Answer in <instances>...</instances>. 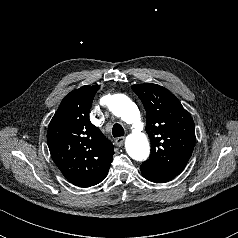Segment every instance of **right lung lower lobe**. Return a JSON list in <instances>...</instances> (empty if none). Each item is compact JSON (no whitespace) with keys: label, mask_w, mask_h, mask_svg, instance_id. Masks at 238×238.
<instances>
[{"label":"right lung lower lobe","mask_w":238,"mask_h":238,"mask_svg":"<svg viewBox=\"0 0 238 238\" xmlns=\"http://www.w3.org/2000/svg\"><path fill=\"white\" fill-rule=\"evenodd\" d=\"M105 177H103L101 180H99L98 182L94 183L93 185H96V184L100 183ZM93 185H91V186H93Z\"/></svg>","instance_id":"1"}]
</instances>
